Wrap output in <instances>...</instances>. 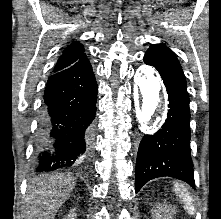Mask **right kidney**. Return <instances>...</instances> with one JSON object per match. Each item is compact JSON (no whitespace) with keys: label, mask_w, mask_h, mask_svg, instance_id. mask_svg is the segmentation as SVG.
I'll use <instances>...</instances> for the list:
<instances>
[{"label":"right kidney","mask_w":221,"mask_h":219,"mask_svg":"<svg viewBox=\"0 0 221 219\" xmlns=\"http://www.w3.org/2000/svg\"><path fill=\"white\" fill-rule=\"evenodd\" d=\"M75 211H76V209H72L70 211V213L67 216H65L63 219H76L75 218L76 217Z\"/></svg>","instance_id":"obj_1"}]
</instances>
